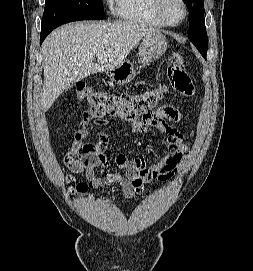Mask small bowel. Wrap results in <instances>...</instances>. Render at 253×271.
Segmentation results:
<instances>
[{"instance_id":"small-bowel-1","label":"small bowel","mask_w":253,"mask_h":271,"mask_svg":"<svg viewBox=\"0 0 253 271\" xmlns=\"http://www.w3.org/2000/svg\"><path fill=\"white\" fill-rule=\"evenodd\" d=\"M112 117L128 124L127 135H147L152 130L162 133L168 146V152L164 158L153 165H147L143 157L131 160L126 154L118 153L114 162L119 171H106L104 176H98L97 170L108 166L105 152L110 139L106 134H102L96 143L85 141L90 126L102 124L105 120V116L88 110L84 113L78 129L73 135L71 147L65 157V163L71 171L85 172L88 183L85 184L82 191L118 184L122 187L124 196L130 199L141 194L147 183L156 180L166 181L177 173L180 164L189 152V145L184 140L183 134L168 124V121L179 122L181 120V111L178 107L170 103L164 104L142 119L133 114L121 112H114Z\"/></svg>"}]
</instances>
